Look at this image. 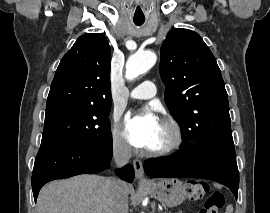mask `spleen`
<instances>
[{
	"mask_svg": "<svg viewBox=\"0 0 270 213\" xmlns=\"http://www.w3.org/2000/svg\"><path fill=\"white\" fill-rule=\"evenodd\" d=\"M232 210H233L232 206L229 205V206L227 207V209H226V213H232Z\"/></svg>",
	"mask_w": 270,
	"mask_h": 213,
	"instance_id": "obj_1",
	"label": "spleen"
}]
</instances>
